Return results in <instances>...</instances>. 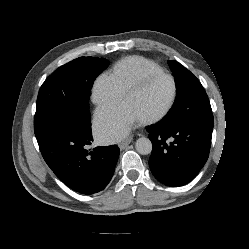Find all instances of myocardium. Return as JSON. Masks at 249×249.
I'll return each mask as SVG.
<instances>
[{
  "mask_svg": "<svg viewBox=\"0 0 249 249\" xmlns=\"http://www.w3.org/2000/svg\"><path fill=\"white\" fill-rule=\"evenodd\" d=\"M159 77H165L167 79L170 80L171 84H172V93H171V97L169 99V101L167 102V104L157 113L141 118L140 120L142 122H153V121H157L161 118H163L164 116H166L169 111L172 109L176 98H177V83L174 79V77L166 72L160 71V72H155V73H149L146 74L142 77H140L138 80H136L134 83H132L124 92V98L129 96L132 93H135L139 90H141L142 88H144L150 81H152L153 79L159 78Z\"/></svg>",
  "mask_w": 249,
  "mask_h": 249,
  "instance_id": "1",
  "label": "myocardium"
}]
</instances>
